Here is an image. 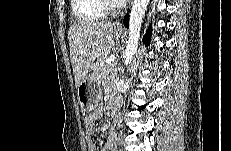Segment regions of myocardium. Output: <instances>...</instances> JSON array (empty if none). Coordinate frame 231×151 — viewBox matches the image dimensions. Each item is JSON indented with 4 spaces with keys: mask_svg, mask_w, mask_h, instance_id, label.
<instances>
[{
    "mask_svg": "<svg viewBox=\"0 0 231 151\" xmlns=\"http://www.w3.org/2000/svg\"><path fill=\"white\" fill-rule=\"evenodd\" d=\"M101 6H102L104 12L108 15H114V14L118 13L122 8L121 4H119L113 0H103Z\"/></svg>",
    "mask_w": 231,
    "mask_h": 151,
    "instance_id": "f54148a6",
    "label": "myocardium"
}]
</instances>
